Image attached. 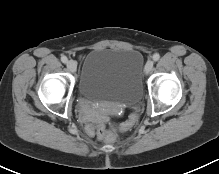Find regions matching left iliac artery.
<instances>
[{
  "instance_id": "obj_1",
  "label": "left iliac artery",
  "mask_w": 219,
  "mask_h": 174,
  "mask_svg": "<svg viewBox=\"0 0 219 174\" xmlns=\"http://www.w3.org/2000/svg\"><path fill=\"white\" fill-rule=\"evenodd\" d=\"M160 59V55L158 54V53H155L154 55H153V60L154 61H158Z\"/></svg>"
}]
</instances>
